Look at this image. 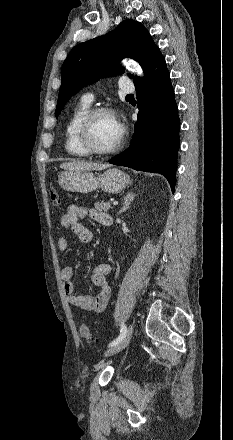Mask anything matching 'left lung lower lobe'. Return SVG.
Returning <instances> with one entry per match:
<instances>
[{
  "label": "left lung lower lobe",
  "mask_w": 233,
  "mask_h": 440,
  "mask_svg": "<svg viewBox=\"0 0 233 440\" xmlns=\"http://www.w3.org/2000/svg\"><path fill=\"white\" fill-rule=\"evenodd\" d=\"M139 108L135 132L127 150L109 163L164 175L175 188L179 148V116L165 59L159 52L145 78L134 82Z\"/></svg>",
  "instance_id": "left-lung-lower-lobe-1"
}]
</instances>
